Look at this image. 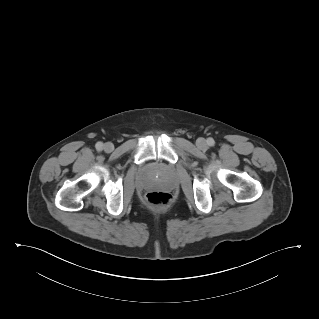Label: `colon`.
I'll use <instances>...</instances> for the list:
<instances>
[{
    "instance_id": "1",
    "label": "colon",
    "mask_w": 319,
    "mask_h": 319,
    "mask_svg": "<svg viewBox=\"0 0 319 319\" xmlns=\"http://www.w3.org/2000/svg\"><path fill=\"white\" fill-rule=\"evenodd\" d=\"M145 199L149 204L159 206L169 203L171 196L164 191H151L146 194Z\"/></svg>"
}]
</instances>
